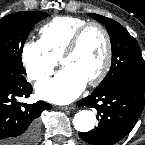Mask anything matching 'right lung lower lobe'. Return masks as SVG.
I'll return each mask as SVG.
<instances>
[{
  "label": "right lung lower lobe",
  "mask_w": 145,
  "mask_h": 145,
  "mask_svg": "<svg viewBox=\"0 0 145 145\" xmlns=\"http://www.w3.org/2000/svg\"><path fill=\"white\" fill-rule=\"evenodd\" d=\"M32 86L23 74L0 73V145H35L39 137L38 117L51 105L18 102L29 97Z\"/></svg>",
  "instance_id": "obj_1"
}]
</instances>
